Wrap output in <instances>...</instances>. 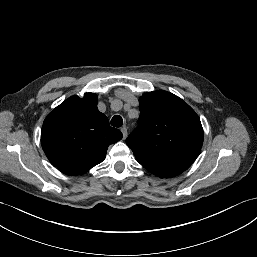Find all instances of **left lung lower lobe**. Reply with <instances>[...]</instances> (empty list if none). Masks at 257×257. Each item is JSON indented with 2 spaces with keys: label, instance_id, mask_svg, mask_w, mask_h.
Masks as SVG:
<instances>
[{
  "label": "left lung lower lobe",
  "instance_id": "left-lung-lower-lobe-1",
  "mask_svg": "<svg viewBox=\"0 0 257 257\" xmlns=\"http://www.w3.org/2000/svg\"><path fill=\"white\" fill-rule=\"evenodd\" d=\"M153 174L166 178V177H173L178 175V173H173V172H153Z\"/></svg>",
  "mask_w": 257,
  "mask_h": 257
}]
</instances>
